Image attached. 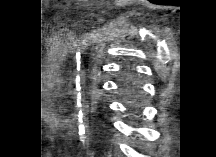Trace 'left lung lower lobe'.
<instances>
[{"mask_svg":"<svg viewBox=\"0 0 216 157\" xmlns=\"http://www.w3.org/2000/svg\"><path fill=\"white\" fill-rule=\"evenodd\" d=\"M123 91L130 97L135 96L136 88L129 86L125 81L122 82Z\"/></svg>","mask_w":216,"mask_h":157,"instance_id":"1","label":"left lung lower lobe"}]
</instances>
